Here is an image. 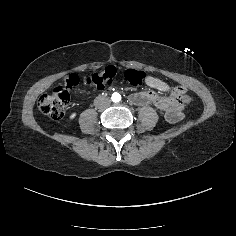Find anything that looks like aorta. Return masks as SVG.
I'll return each instance as SVG.
<instances>
[{"mask_svg":"<svg viewBox=\"0 0 236 236\" xmlns=\"http://www.w3.org/2000/svg\"><path fill=\"white\" fill-rule=\"evenodd\" d=\"M112 100H113L114 102H119V101L121 100V95L118 94V93H114V94L112 95Z\"/></svg>","mask_w":236,"mask_h":236,"instance_id":"1","label":"aorta"}]
</instances>
